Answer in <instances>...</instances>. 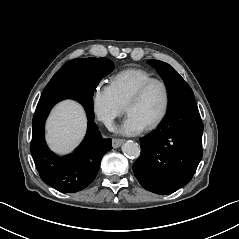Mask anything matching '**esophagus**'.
<instances>
[{"mask_svg": "<svg viewBox=\"0 0 239 239\" xmlns=\"http://www.w3.org/2000/svg\"><path fill=\"white\" fill-rule=\"evenodd\" d=\"M124 142V139H117V138H114L112 139V146L113 148H118L121 146V144Z\"/></svg>", "mask_w": 239, "mask_h": 239, "instance_id": "obj_1", "label": "esophagus"}]
</instances>
